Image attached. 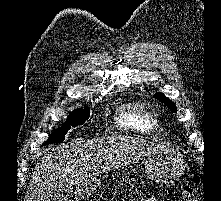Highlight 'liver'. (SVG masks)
<instances>
[{
  "instance_id": "liver-1",
  "label": "liver",
  "mask_w": 221,
  "mask_h": 201,
  "mask_svg": "<svg viewBox=\"0 0 221 201\" xmlns=\"http://www.w3.org/2000/svg\"><path fill=\"white\" fill-rule=\"evenodd\" d=\"M167 149L172 148L127 135L75 140L53 148L37 164L26 201H50L59 185L87 187L98 182L99 166L102 171L115 170Z\"/></svg>"
}]
</instances>
